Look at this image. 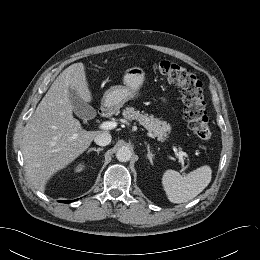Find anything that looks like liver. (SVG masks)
Returning <instances> with one entry per match:
<instances>
[{
  "mask_svg": "<svg viewBox=\"0 0 260 260\" xmlns=\"http://www.w3.org/2000/svg\"><path fill=\"white\" fill-rule=\"evenodd\" d=\"M91 102L83 63L66 68L53 82L23 129L22 149L29 182L44 191L50 177L75 160L99 131H86L73 117L69 89Z\"/></svg>",
  "mask_w": 260,
  "mask_h": 260,
  "instance_id": "obj_1",
  "label": "liver"
}]
</instances>
